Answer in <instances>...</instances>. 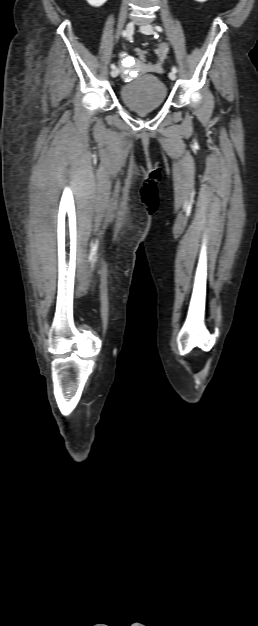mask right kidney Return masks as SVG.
<instances>
[{"mask_svg": "<svg viewBox=\"0 0 258 626\" xmlns=\"http://www.w3.org/2000/svg\"><path fill=\"white\" fill-rule=\"evenodd\" d=\"M91 6L94 7H100L102 6L105 2H107V0H86Z\"/></svg>", "mask_w": 258, "mask_h": 626, "instance_id": "1", "label": "right kidney"}]
</instances>
